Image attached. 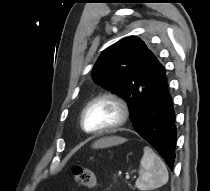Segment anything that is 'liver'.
Wrapping results in <instances>:
<instances>
[{
    "mask_svg": "<svg viewBox=\"0 0 210 191\" xmlns=\"http://www.w3.org/2000/svg\"><path fill=\"white\" fill-rule=\"evenodd\" d=\"M124 142H126V139L122 137H117V136L105 137L96 141L92 147L94 149L107 148L110 146H116V145L122 144Z\"/></svg>",
    "mask_w": 210,
    "mask_h": 191,
    "instance_id": "liver-1",
    "label": "liver"
}]
</instances>
